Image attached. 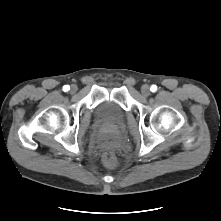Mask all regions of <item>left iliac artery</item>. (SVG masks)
I'll return each instance as SVG.
<instances>
[{"instance_id":"44dca946","label":"left iliac artery","mask_w":221,"mask_h":221,"mask_svg":"<svg viewBox=\"0 0 221 221\" xmlns=\"http://www.w3.org/2000/svg\"><path fill=\"white\" fill-rule=\"evenodd\" d=\"M150 90H151V92H155L157 90V86L156 85H152Z\"/></svg>"}]
</instances>
